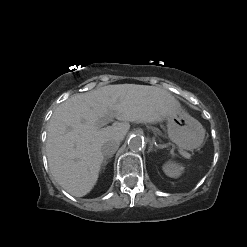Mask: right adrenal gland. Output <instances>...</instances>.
<instances>
[{
  "label": "right adrenal gland",
  "mask_w": 247,
  "mask_h": 247,
  "mask_svg": "<svg viewBox=\"0 0 247 247\" xmlns=\"http://www.w3.org/2000/svg\"><path fill=\"white\" fill-rule=\"evenodd\" d=\"M111 157H112V156H108V157H105V158H104V161H103V163H102V168H103V169H104L105 166L108 164L109 159H110Z\"/></svg>",
  "instance_id": "2a0ac1e0"
}]
</instances>
